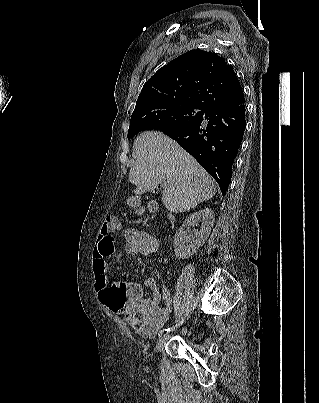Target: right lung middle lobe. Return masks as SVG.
Wrapping results in <instances>:
<instances>
[{"label": "right lung middle lobe", "mask_w": 319, "mask_h": 403, "mask_svg": "<svg viewBox=\"0 0 319 403\" xmlns=\"http://www.w3.org/2000/svg\"><path fill=\"white\" fill-rule=\"evenodd\" d=\"M208 111L191 104L164 103L141 110L131 117L128 139L148 129H164L190 125L201 120Z\"/></svg>", "instance_id": "1"}]
</instances>
